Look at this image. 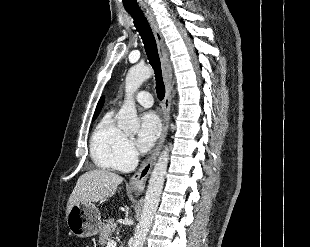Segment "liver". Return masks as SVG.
I'll list each match as a JSON object with an SVG mask.
<instances>
[{
    "label": "liver",
    "instance_id": "1",
    "mask_svg": "<svg viewBox=\"0 0 310 247\" xmlns=\"http://www.w3.org/2000/svg\"><path fill=\"white\" fill-rule=\"evenodd\" d=\"M123 178L114 172L94 169L82 174L67 203L66 215L75 204L95 203L112 197Z\"/></svg>",
    "mask_w": 310,
    "mask_h": 247
}]
</instances>
